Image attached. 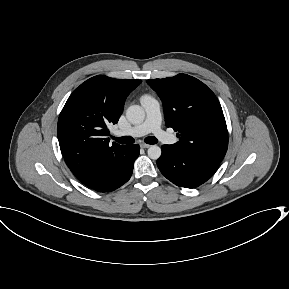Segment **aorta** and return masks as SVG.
<instances>
[{"mask_svg": "<svg viewBox=\"0 0 289 289\" xmlns=\"http://www.w3.org/2000/svg\"><path fill=\"white\" fill-rule=\"evenodd\" d=\"M126 117L131 124H140L145 119V111L139 105H131L126 111ZM148 156L153 160H157L161 156V148L157 145H152L148 149Z\"/></svg>", "mask_w": 289, "mask_h": 289, "instance_id": "obj_1", "label": "aorta"}]
</instances>
